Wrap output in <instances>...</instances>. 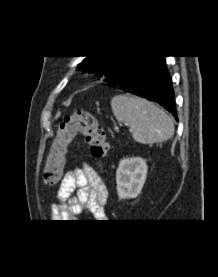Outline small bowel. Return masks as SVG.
<instances>
[{"instance_id": "small-bowel-1", "label": "small bowel", "mask_w": 218, "mask_h": 277, "mask_svg": "<svg viewBox=\"0 0 218 277\" xmlns=\"http://www.w3.org/2000/svg\"><path fill=\"white\" fill-rule=\"evenodd\" d=\"M107 195V187L96 170L84 163L65 174L56 200L51 204V215L56 220H72L86 212L102 220L105 218Z\"/></svg>"}]
</instances>
